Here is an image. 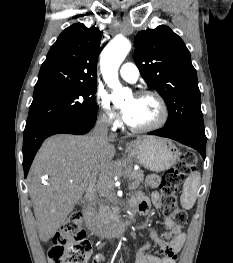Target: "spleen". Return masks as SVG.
Returning <instances> with one entry per match:
<instances>
[{
  "mask_svg": "<svg viewBox=\"0 0 233 263\" xmlns=\"http://www.w3.org/2000/svg\"><path fill=\"white\" fill-rule=\"evenodd\" d=\"M200 174L194 172L190 174L184 182L183 194L180 198L181 205L184 209L189 210L193 207L196 201L197 192L200 186Z\"/></svg>",
  "mask_w": 233,
  "mask_h": 263,
  "instance_id": "3e777b00",
  "label": "spleen"
}]
</instances>
